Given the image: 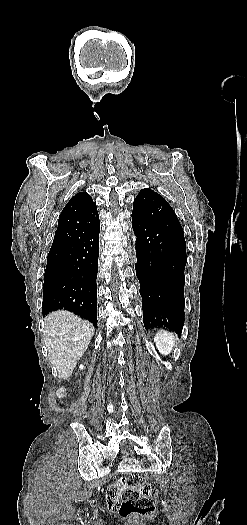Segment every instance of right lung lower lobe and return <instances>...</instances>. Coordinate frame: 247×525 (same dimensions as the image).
<instances>
[{
	"instance_id": "1",
	"label": "right lung lower lobe",
	"mask_w": 247,
	"mask_h": 525,
	"mask_svg": "<svg viewBox=\"0 0 247 525\" xmlns=\"http://www.w3.org/2000/svg\"><path fill=\"white\" fill-rule=\"evenodd\" d=\"M100 225L49 252L43 284V316L64 309L97 327V271Z\"/></svg>"
}]
</instances>
